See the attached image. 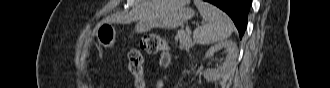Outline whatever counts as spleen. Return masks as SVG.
Returning a JSON list of instances; mask_svg holds the SVG:
<instances>
[{
    "mask_svg": "<svg viewBox=\"0 0 330 88\" xmlns=\"http://www.w3.org/2000/svg\"><path fill=\"white\" fill-rule=\"evenodd\" d=\"M194 4L206 21L205 25L197 27L193 32V39L196 43L208 45L223 41L231 36L234 26L226 13L202 0H195Z\"/></svg>",
    "mask_w": 330,
    "mask_h": 88,
    "instance_id": "obj_1",
    "label": "spleen"
}]
</instances>
